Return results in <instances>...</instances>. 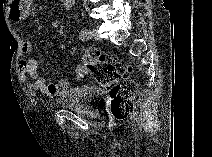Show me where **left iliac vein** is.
Returning <instances> with one entry per match:
<instances>
[{
  "label": "left iliac vein",
  "instance_id": "obj_1",
  "mask_svg": "<svg viewBox=\"0 0 212 157\" xmlns=\"http://www.w3.org/2000/svg\"><path fill=\"white\" fill-rule=\"evenodd\" d=\"M91 35L93 36V38H95L96 40H100V35L97 32L96 28H93L91 31Z\"/></svg>",
  "mask_w": 212,
  "mask_h": 157
}]
</instances>
